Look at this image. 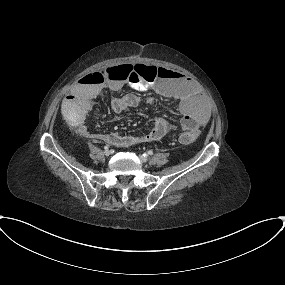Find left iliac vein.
Wrapping results in <instances>:
<instances>
[{"instance_id":"left-iliac-vein-1","label":"left iliac vein","mask_w":285,"mask_h":285,"mask_svg":"<svg viewBox=\"0 0 285 285\" xmlns=\"http://www.w3.org/2000/svg\"><path fill=\"white\" fill-rule=\"evenodd\" d=\"M139 159H140L141 162H144V163L148 161V158L143 156V155H140Z\"/></svg>"}]
</instances>
